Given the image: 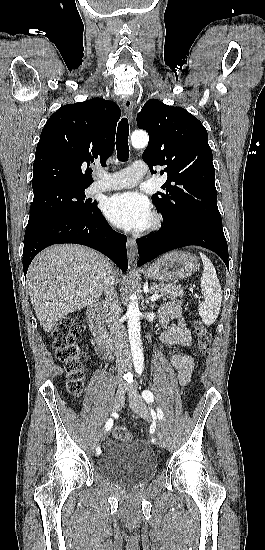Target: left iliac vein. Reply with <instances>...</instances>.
I'll return each mask as SVG.
<instances>
[{
  "mask_svg": "<svg viewBox=\"0 0 265 550\" xmlns=\"http://www.w3.org/2000/svg\"><path fill=\"white\" fill-rule=\"evenodd\" d=\"M130 408L139 416H141L144 419H148L149 414L146 407V404L141 396L139 395H132L130 402H129ZM160 444L161 446L165 447V442L162 440L161 436H159Z\"/></svg>",
  "mask_w": 265,
  "mask_h": 550,
  "instance_id": "obj_1",
  "label": "left iliac vein"
}]
</instances>
